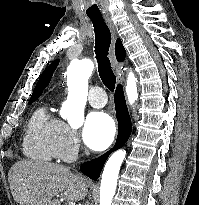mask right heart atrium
<instances>
[{
  "label": "right heart atrium",
  "mask_w": 199,
  "mask_h": 205,
  "mask_svg": "<svg viewBox=\"0 0 199 205\" xmlns=\"http://www.w3.org/2000/svg\"><path fill=\"white\" fill-rule=\"evenodd\" d=\"M81 149L77 132L68 124L61 122L57 136V157L64 161H71L77 157Z\"/></svg>",
  "instance_id": "d8ad5b80"
}]
</instances>
